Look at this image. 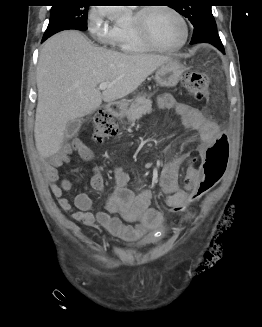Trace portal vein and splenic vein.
<instances>
[{"label":"portal vein and splenic vein","instance_id":"portal-vein-and-splenic-vein-1","mask_svg":"<svg viewBox=\"0 0 262 327\" xmlns=\"http://www.w3.org/2000/svg\"><path fill=\"white\" fill-rule=\"evenodd\" d=\"M111 86H112L111 83H100V84H99V89H100V90H105V89H107V88H109V87H111Z\"/></svg>","mask_w":262,"mask_h":327}]
</instances>
